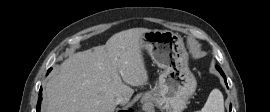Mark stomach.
<instances>
[{"instance_id":"0dacf381","label":"stomach","mask_w":270,"mask_h":112,"mask_svg":"<svg viewBox=\"0 0 270 112\" xmlns=\"http://www.w3.org/2000/svg\"><path fill=\"white\" fill-rule=\"evenodd\" d=\"M140 47L163 69L158 86L145 93L142 102L153 104L163 112H182L197 86L188 67L189 54L183 39L168 30H148L141 37Z\"/></svg>"}]
</instances>
